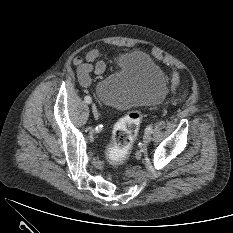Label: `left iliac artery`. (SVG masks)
Wrapping results in <instances>:
<instances>
[{"label": "left iliac artery", "instance_id": "44dca946", "mask_svg": "<svg viewBox=\"0 0 233 233\" xmlns=\"http://www.w3.org/2000/svg\"><path fill=\"white\" fill-rule=\"evenodd\" d=\"M145 131H146V132H149V133H152V131H153L152 125L147 126V128H146Z\"/></svg>", "mask_w": 233, "mask_h": 233}]
</instances>
